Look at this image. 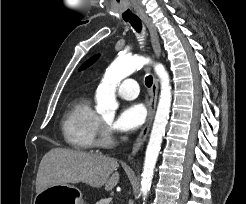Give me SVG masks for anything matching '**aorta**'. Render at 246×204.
Here are the masks:
<instances>
[{"instance_id": "762f6f07", "label": "aorta", "mask_w": 246, "mask_h": 204, "mask_svg": "<svg viewBox=\"0 0 246 204\" xmlns=\"http://www.w3.org/2000/svg\"><path fill=\"white\" fill-rule=\"evenodd\" d=\"M150 62L149 58L143 56L119 55L107 68L102 83L96 91V111L103 117H114L118 108L115 96L117 85L136 69ZM154 69L160 79L161 91L141 175L143 204H145L146 196L151 188L155 165L169 119L172 99L170 79L167 71L162 64H155Z\"/></svg>"}]
</instances>
